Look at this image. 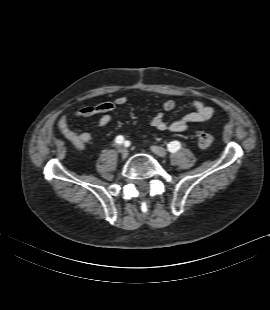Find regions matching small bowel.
I'll use <instances>...</instances> for the list:
<instances>
[{
  "mask_svg": "<svg viewBox=\"0 0 270 310\" xmlns=\"http://www.w3.org/2000/svg\"><path fill=\"white\" fill-rule=\"evenodd\" d=\"M127 98L120 96L113 101H104L94 105H87L77 110L71 117H63L59 121V127L66 138L71 140L78 148H84L91 142L92 136L88 131H81L72 125V119L88 118L100 115L96 127H106L112 119V112L121 105L126 104ZM176 108L174 100H166L162 104V111L158 112L150 121L151 126L160 131H171L174 133H183L188 130L192 123H205L209 121L214 109L200 101L192 103V111L175 120L165 118V112H172Z\"/></svg>",
  "mask_w": 270,
  "mask_h": 310,
  "instance_id": "obj_1",
  "label": "small bowel"
}]
</instances>
